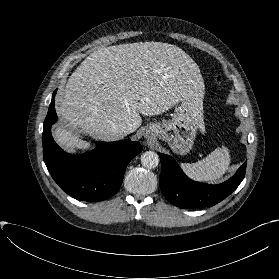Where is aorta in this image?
Segmentation results:
<instances>
[{"label": "aorta", "instance_id": "762f6f07", "mask_svg": "<svg viewBox=\"0 0 279 279\" xmlns=\"http://www.w3.org/2000/svg\"><path fill=\"white\" fill-rule=\"evenodd\" d=\"M159 161V156L154 151H146L141 155V163L145 168H155L158 166Z\"/></svg>", "mask_w": 279, "mask_h": 279}]
</instances>
